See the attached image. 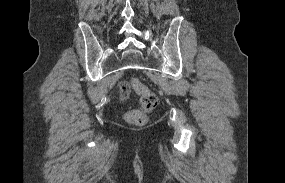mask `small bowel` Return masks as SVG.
<instances>
[{"label":"small bowel","instance_id":"c3829d8e","mask_svg":"<svg viewBox=\"0 0 285 183\" xmlns=\"http://www.w3.org/2000/svg\"><path fill=\"white\" fill-rule=\"evenodd\" d=\"M119 92H120V96L122 99L127 98L128 94H129V85L126 81H120L117 85Z\"/></svg>","mask_w":285,"mask_h":183}]
</instances>
